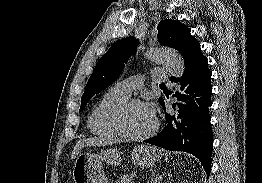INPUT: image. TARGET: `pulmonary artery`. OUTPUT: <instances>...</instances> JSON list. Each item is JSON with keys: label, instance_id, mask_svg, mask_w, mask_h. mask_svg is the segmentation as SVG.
<instances>
[{"label": "pulmonary artery", "instance_id": "e3ab8cb5", "mask_svg": "<svg viewBox=\"0 0 262 183\" xmlns=\"http://www.w3.org/2000/svg\"><path fill=\"white\" fill-rule=\"evenodd\" d=\"M151 78L154 82H169V78L165 75L158 73L156 70L151 72ZM143 84V80L141 77H129L118 83H116L113 87V90L116 92L129 97L131 92L140 87Z\"/></svg>", "mask_w": 262, "mask_h": 183}]
</instances>
